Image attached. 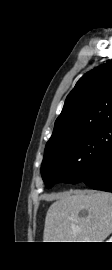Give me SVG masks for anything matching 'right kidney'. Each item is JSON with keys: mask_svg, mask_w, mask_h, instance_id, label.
<instances>
[{"mask_svg": "<svg viewBox=\"0 0 112 270\" xmlns=\"http://www.w3.org/2000/svg\"><path fill=\"white\" fill-rule=\"evenodd\" d=\"M107 242H112V236L110 237V239H109V240H107Z\"/></svg>", "mask_w": 112, "mask_h": 270, "instance_id": "right-kidney-1", "label": "right kidney"}]
</instances>
